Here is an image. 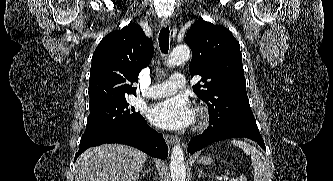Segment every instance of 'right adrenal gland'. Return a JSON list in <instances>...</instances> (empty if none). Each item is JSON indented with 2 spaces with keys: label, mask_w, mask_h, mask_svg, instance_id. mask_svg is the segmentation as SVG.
<instances>
[{
  "label": "right adrenal gland",
  "mask_w": 333,
  "mask_h": 181,
  "mask_svg": "<svg viewBox=\"0 0 333 181\" xmlns=\"http://www.w3.org/2000/svg\"><path fill=\"white\" fill-rule=\"evenodd\" d=\"M141 173H142V177L144 178V176L147 174V173H150V170H143L141 169Z\"/></svg>",
  "instance_id": "2a0ac1e0"
}]
</instances>
